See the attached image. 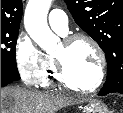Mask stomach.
Wrapping results in <instances>:
<instances>
[{
	"mask_svg": "<svg viewBox=\"0 0 123 113\" xmlns=\"http://www.w3.org/2000/svg\"><path fill=\"white\" fill-rule=\"evenodd\" d=\"M84 113H109L105 104L98 100H91L84 108Z\"/></svg>",
	"mask_w": 123,
	"mask_h": 113,
	"instance_id": "0dacf381",
	"label": "stomach"
}]
</instances>
